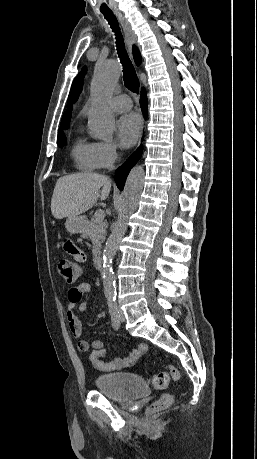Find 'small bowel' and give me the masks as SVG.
<instances>
[{"label": "small bowel", "mask_w": 257, "mask_h": 459, "mask_svg": "<svg viewBox=\"0 0 257 459\" xmlns=\"http://www.w3.org/2000/svg\"><path fill=\"white\" fill-rule=\"evenodd\" d=\"M60 247L64 248V253L67 255V258H69L70 264H87L88 257L86 255V249H83L82 246H77L76 239H61ZM90 291L91 287L88 283H80L70 288L67 293V320L70 331L73 336L78 339L79 350L86 352L92 349L89 361L94 368L103 372H112L134 365L146 352V344H140L138 348L131 350L129 355L125 358L108 360L107 352L103 348V342L100 339H92L91 341L81 339L84 330L83 324L74 310L76 307L79 312H85L87 310Z\"/></svg>", "instance_id": "obj_1"}]
</instances>
